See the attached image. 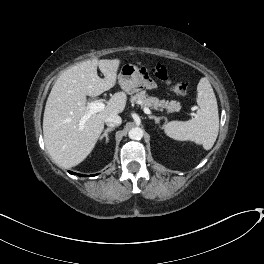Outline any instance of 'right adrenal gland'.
I'll use <instances>...</instances> for the list:
<instances>
[{
    "instance_id": "right-adrenal-gland-1",
    "label": "right adrenal gland",
    "mask_w": 264,
    "mask_h": 264,
    "mask_svg": "<svg viewBox=\"0 0 264 264\" xmlns=\"http://www.w3.org/2000/svg\"><path fill=\"white\" fill-rule=\"evenodd\" d=\"M115 128L111 127V128H107L104 133L100 136V140H102L105 137V142L107 143L109 141V137H108V132L113 131Z\"/></svg>"
}]
</instances>
